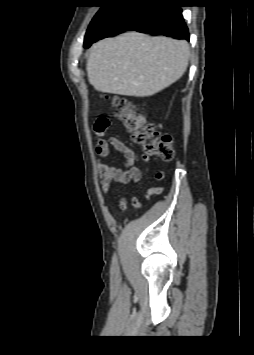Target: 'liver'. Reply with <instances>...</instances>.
Listing matches in <instances>:
<instances>
[{
    "instance_id": "obj_1",
    "label": "liver",
    "mask_w": 254,
    "mask_h": 355,
    "mask_svg": "<svg viewBox=\"0 0 254 355\" xmlns=\"http://www.w3.org/2000/svg\"><path fill=\"white\" fill-rule=\"evenodd\" d=\"M189 58V44L184 40L127 32L94 44L86 70L99 92L147 97L180 79Z\"/></svg>"
}]
</instances>
